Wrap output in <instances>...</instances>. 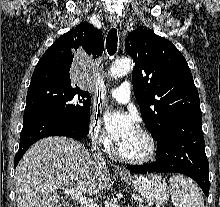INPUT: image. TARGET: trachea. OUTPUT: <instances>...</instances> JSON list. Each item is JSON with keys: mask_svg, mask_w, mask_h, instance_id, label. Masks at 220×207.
Wrapping results in <instances>:
<instances>
[{"mask_svg": "<svg viewBox=\"0 0 220 207\" xmlns=\"http://www.w3.org/2000/svg\"><path fill=\"white\" fill-rule=\"evenodd\" d=\"M117 42H118L117 30L115 28H112L108 32V35L106 38V46H107V51L109 55H114L116 53Z\"/></svg>", "mask_w": 220, "mask_h": 207, "instance_id": "trachea-1", "label": "trachea"}]
</instances>
